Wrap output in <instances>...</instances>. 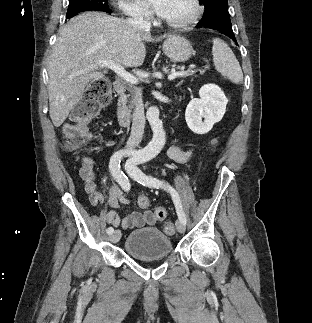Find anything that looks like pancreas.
<instances>
[{"label": "pancreas", "mask_w": 312, "mask_h": 323, "mask_svg": "<svg viewBox=\"0 0 312 323\" xmlns=\"http://www.w3.org/2000/svg\"><path fill=\"white\" fill-rule=\"evenodd\" d=\"M132 92V90H131ZM128 96H130V94H128ZM133 100L132 102H128L127 100V96H124V98H122V102L123 104H128V106H125V108H128V110H132L134 104H135V96H134V92H133V96H132Z\"/></svg>", "instance_id": "obj_1"}]
</instances>
